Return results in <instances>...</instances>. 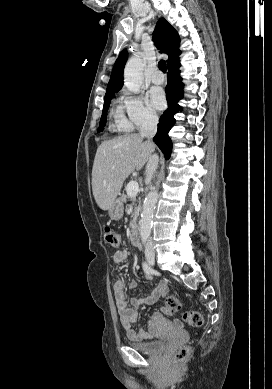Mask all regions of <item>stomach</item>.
I'll return each instance as SVG.
<instances>
[{"mask_svg":"<svg viewBox=\"0 0 272 389\" xmlns=\"http://www.w3.org/2000/svg\"><path fill=\"white\" fill-rule=\"evenodd\" d=\"M109 216L112 220H119L124 213V206L122 199H116L111 207L108 209Z\"/></svg>","mask_w":272,"mask_h":389,"instance_id":"0dacf381","label":"stomach"}]
</instances>
